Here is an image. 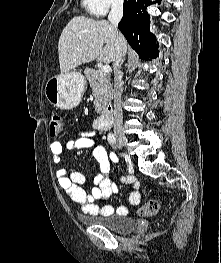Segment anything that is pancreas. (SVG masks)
<instances>
[{"mask_svg": "<svg viewBox=\"0 0 221 263\" xmlns=\"http://www.w3.org/2000/svg\"><path fill=\"white\" fill-rule=\"evenodd\" d=\"M84 73L95 97V110L97 113H101L104 111L108 102L111 101L112 86L105 74L99 73L92 68L85 69Z\"/></svg>", "mask_w": 221, "mask_h": 263, "instance_id": "cf45deb5", "label": "pancreas"}]
</instances>
